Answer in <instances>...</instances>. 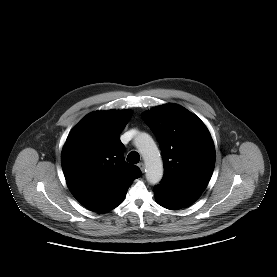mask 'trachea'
<instances>
[{"label": "trachea", "mask_w": 277, "mask_h": 277, "mask_svg": "<svg viewBox=\"0 0 277 277\" xmlns=\"http://www.w3.org/2000/svg\"><path fill=\"white\" fill-rule=\"evenodd\" d=\"M127 161L132 164H137L140 161V155L136 151H132L127 156Z\"/></svg>", "instance_id": "3493384b"}]
</instances>
